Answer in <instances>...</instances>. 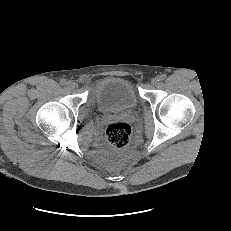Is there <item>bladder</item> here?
<instances>
[{"label":"bladder","instance_id":"bladder-1","mask_svg":"<svg viewBox=\"0 0 231 231\" xmlns=\"http://www.w3.org/2000/svg\"><path fill=\"white\" fill-rule=\"evenodd\" d=\"M93 99L102 112L126 111L138 104L133 84L128 79L117 76L101 79L93 90Z\"/></svg>","mask_w":231,"mask_h":231}]
</instances>
